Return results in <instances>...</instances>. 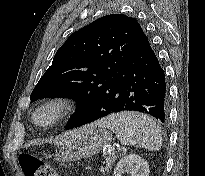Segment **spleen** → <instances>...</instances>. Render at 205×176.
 Here are the masks:
<instances>
[{"mask_svg": "<svg viewBox=\"0 0 205 176\" xmlns=\"http://www.w3.org/2000/svg\"><path fill=\"white\" fill-rule=\"evenodd\" d=\"M99 127L111 129L124 145L158 151L162 146L159 126L148 115L136 112H120L96 122Z\"/></svg>", "mask_w": 205, "mask_h": 176, "instance_id": "3e777b00", "label": "spleen"}]
</instances>
